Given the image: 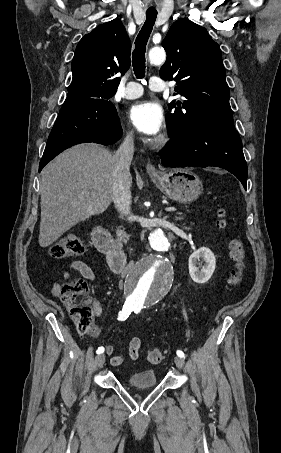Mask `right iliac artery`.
<instances>
[{"label": "right iliac artery", "instance_id": "82829eb1", "mask_svg": "<svg viewBox=\"0 0 281 453\" xmlns=\"http://www.w3.org/2000/svg\"><path fill=\"white\" fill-rule=\"evenodd\" d=\"M132 311H133L132 305L124 304L122 311L119 312L118 320H122V321L126 320ZM96 352H97V354L103 353L104 347H99Z\"/></svg>", "mask_w": 281, "mask_h": 453}]
</instances>
